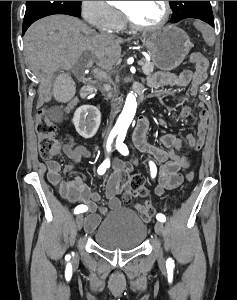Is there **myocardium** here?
Instances as JSON below:
<instances>
[{
    "mask_svg": "<svg viewBox=\"0 0 237 300\" xmlns=\"http://www.w3.org/2000/svg\"><path fill=\"white\" fill-rule=\"evenodd\" d=\"M163 3H164V14H163L161 20L158 23L154 24V25H140V24H137L126 11L121 9V13L123 15L124 21L131 28H133L135 30H138V31H155V30H159V29L163 28L168 23V21L170 19V16H171L170 1H163Z\"/></svg>",
    "mask_w": 237,
    "mask_h": 300,
    "instance_id": "obj_1",
    "label": "myocardium"
}]
</instances>
